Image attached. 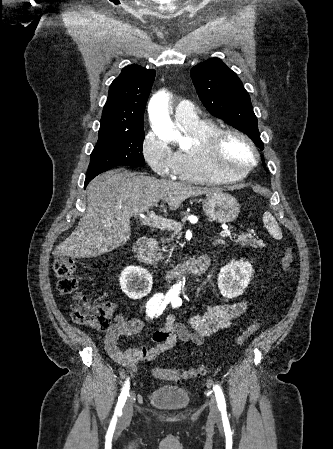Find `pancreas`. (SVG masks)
<instances>
[{
  "instance_id": "obj_1",
  "label": "pancreas",
  "mask_w": 333,
  "mask_h": 449,
  "mask_svg": "<svg viewBox=\"0 0 333 449\" xmlns=\"http://www.w3.org/2000/svg\"><path fill=\"white\" fill-rule=\"evenodd\" d=\"M234 237L237 238L235 240V242L239 243L241 246H251L253 248H258L259 246L262 245L261 240H258V238H256L255 236L245 233V232H241L240 234H235ZM171 255H172V250L169 253V257Z\"/></svg>"
}]
</instances>
